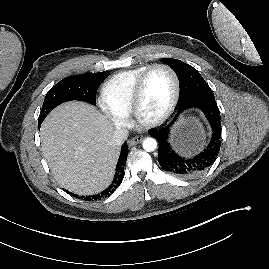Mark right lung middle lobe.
<instances>
[{
  "label": "right lung middle lobe",
  "instance_id": "dd1d6c3e",
  "mask_svg": "<svg viewBox=\"0 0 269 269\" xmlns=\"http://www.w3.org/2000/svg\"><path fill=\"white\" fill-rule=\"evenodd\" d=\"M108 75V71L82 74L70 76L58 82L46 94L38 124L41 125L51 110L63 102L80 100L95 105L97 89Z\"/></svg>",
  "mask_w": 269,
  "mask_h": 269
}]
</instances>
